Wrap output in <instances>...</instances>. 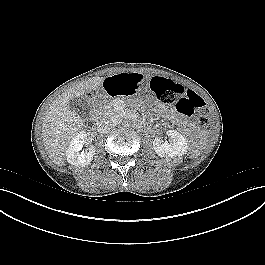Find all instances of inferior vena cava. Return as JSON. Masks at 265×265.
<instances>
[{
    "label": "inferior vena cava",
    "mask_w": 265,
    "mask_h": 265,
    "mask_svg": "<svg viewBox=\"0 0 265 265\" xmlns=\"http://www.w3.org/2000/svg\"><path fill=\"white\" fill-rule=\"evenodd\" d=\"M113 124L109 119H102L97 124V131L100 134H107L111 131Z\"/></svg>",
    "instance_id": "obj_1"
}]
</instances>
